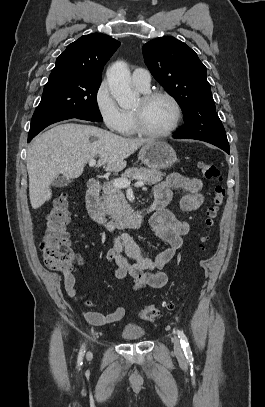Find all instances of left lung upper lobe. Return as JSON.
Returning <instances> with one entry per match:
<instances>
[{
  "mask_svg": "<svg viewBox=\"0 0 265 407\" xmlns=\"http://www.w3.org/2000/svg\"><path fill=\"white\" fill-rule=\"evenodd\" d=\"M145 63L154 78L180 105L185 124L176 138L198 139L229 147L225 129L216 113L206 67L185 43L166 36L142 48Z\"/></svg>",
  "mask_w": 265,
  "mask_h": 407,
  "instance_id": "obj_1",
  "label": "left lung upper lobe"
}]
</instances>
